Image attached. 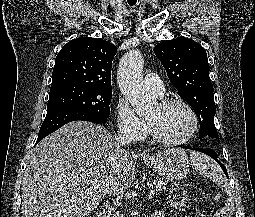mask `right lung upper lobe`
I'll use <instances>...</instances> for the list:
<instances>
[{"label":"right lung upper lobe","mask_w":255,"mask_h":217,"mask_svg":"<svg viewBox=\"0 0 255 217\" xmlns=\"http://www.w3.org/2000/svg\"><path fill=\"white\" fill-rule=\"evenodd\" d=\"M116 47L108 41L80 37L63 46L55 59L51 87L79 84L111 88Z\"/></svg>","instance_id":"cb5924a9"}]
</instances>
